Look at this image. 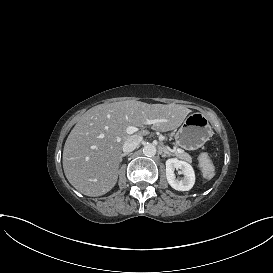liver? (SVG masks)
Returning <instances> with one entry per match:
<instances>
[{
	"mask_svg": "<svg viewBox=\"0 0 273 273\" xmlns=\"http://www.w3.org/2000/svg\"><path fill=\"white\" fill-rule=\"evenodd\" d=\"M191 110L184 105L155 104L128 100L102 104L88 110L70 132L63 151V168L69 182L81 193L99 196L116 183L122 147L133 136L130 126L169 131L178 127Z\"/></svg>",
	"mask_w": 273,
	"mask_h": 273,
	"instance_id": "obj_1",
	"label": "liver"
}]
</instances>
